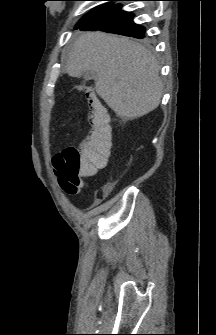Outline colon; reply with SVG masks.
I'll use <instances>...</instances> for the list:
<instances>
[{
  "label": "colon",
  "mask_w": 216,
  "mask_h": 335,
  "mask_svg": "<svg viewBox=\"0 0 216 335\" xmlns=\"http://www.w3.org/2000/svg\"><path fill=\"white\" fill-rule=\"evenodd\" d=\"M90 100L87 115L89 133L82 145L69 146L54 157L59 183L67 194H76L84 178H100V172H108L111 164V126L103 105L95 99L89 87L81 86Z\"/></svg>",
  "instance_id": "5ec220e1"
}]
</instances>
